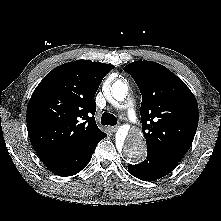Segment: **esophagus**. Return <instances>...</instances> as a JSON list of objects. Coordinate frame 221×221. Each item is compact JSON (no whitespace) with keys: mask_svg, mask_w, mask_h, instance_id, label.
<instances>
[{"mask_svg":"<svg viewBox=\"0 0 221 221\" xmlns=\"http://www.w3.org/2000/svg\"><path fill=\"white\" fill-rule=\"evenodd\" d=\"M118 129V126H112L110 127L111 132H115Z\"/></svg>","mask_w":221,"mask_h":221,"instance_id":"obj_1","label":"esophagus"}]
</instances>
